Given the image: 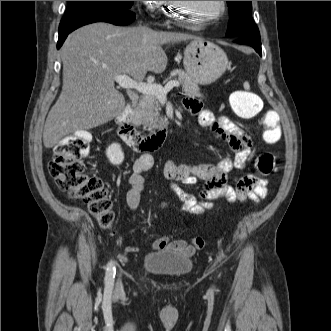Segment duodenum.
I'll list each match as a JSON object with an SVG mask.
<instances>
[{
	"label": "duodenum",
	"mask_w": 331,
	"mask_h": 331,
	"mask_svg": "<svg viewBox=\"0 0 331 331\" xmlns=\"http://www.w3.org/2000/svg\"><path fill=\"white\" fill-rule=\"evenodd\" d=\"M133 108L134 102L131 101L116 117L117 133L119 137L136 152H145L159 148L166 139L168 131L167 126L164 125L160 127L151 135H141L132 122Z\"/></svg>",
	"instance_id": "410a0bca"
}]
</instances>
